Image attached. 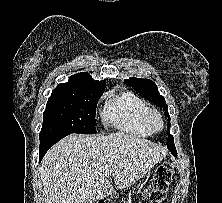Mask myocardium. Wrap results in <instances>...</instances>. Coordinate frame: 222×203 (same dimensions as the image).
<instances>
[{
  "mask_svg": "<svg viewBox=\"0 0 222 203\" xmlns=\"http://www.w3.org/2000/svg\"><path fill=\"white\" fill-rule=\"evenodd\" d=\"M156 118L159 120L160 122V127L159 128H155L153 125V119ZM145 123L147 125V127L150 129L151 132L153 133H158L160 131L163 130L164 127V120L163 117L161 115V113L156 110V109H148L146 114H145Z\"/></svg>",
  "mask_w": 222,
  "mask_h": 203,
  "instance_id": "1",
  "label": "myocardium"
}]
</instances>
